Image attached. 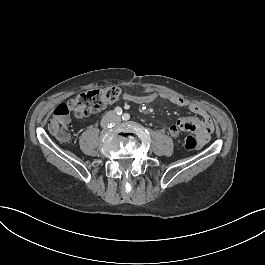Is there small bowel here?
<instances>
[{"label": "small bowel", "mask_w": 265, "mask_h": 265, "mask_svg": "<svg viewBox=\"0 0 265 265\" xmlns=\"http://www.w3.org/2000/svg\"><path fill=\"white\" fill-rule=\"evenodd\" d=\"M120 96L123 100L141 105L149 104L156 100H165L172 105L185 108L193 113L194 116L179 118L169 127V136L176 139L179 137L181 132L189 131L198 136L201 144H206L210 139V135L213 131V122L211 117L202 106L193 103L186 98L163 91H154L149 89L143 90L140 95L121 92Z\"/></svg>", "instance_id": "1"}]
</instances>
